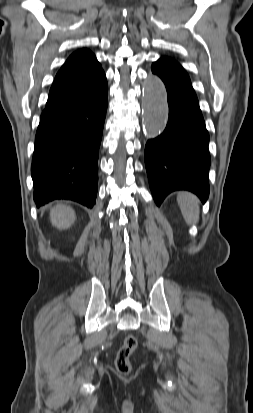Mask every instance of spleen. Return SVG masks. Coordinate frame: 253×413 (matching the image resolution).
Masks as SVG:
<instances>
[{
  "mask_svg": "<svg viewBox=\"0 0 253 413\" xmlns=\"http://www.w3.org/2000/svg\"><path fill=\"white\" fill-rule=\"evenodd\" d=\"M177 202L182 212L183 218L188 225L196 224L199 221V200L188 192H181L177 197Z\"/></svg>",
  "mask_w": 253,
  "mask_h": 413,
  "instance_id": "obj_1",
  "label": "spleen"
}]
</instances>
